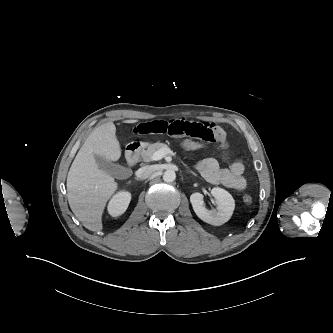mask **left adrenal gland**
I'll return each instance as SVG.
<instances>
[{
  "label": "left adrenal gland",
  "mask_w": 333,
  "mask_h": 333,
  "mask_svg": "<svg viewBox=\"0 0 333 333\" xmlns=\"http://www.w3.org/2000/svg\"><path fill=\"white\" fill-rule=\"evenodd\" d=\"M190 173H192L193 175H196V174H195L194 172H192V171H191Z\"/></svg>",
  "instance_id": "a2214340"
}]
</instances>
